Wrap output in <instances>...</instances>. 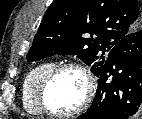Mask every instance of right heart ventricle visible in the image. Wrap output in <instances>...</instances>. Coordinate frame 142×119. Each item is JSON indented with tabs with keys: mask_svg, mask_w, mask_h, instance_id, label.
Wrapping results in <instances>:
<instances>
[{
	"mask_svg": "<svg viewBox=\"0 0 142 119\" xmlns=\"http://www.w3.org/2000/svg\"><path fill=\"white\" fill-rule=\"evenodd\" d=\"M54 66L53 61H45L32 68L26 75L22 86V103L28 113L42 114L43 111L38 103V90L43 78Z\"/></svg>",
	"mask_w": 142,
	"mask_h": 119,
	"instance_id": "e07e8e85",
	"label": "right heart ventricle"
}]
</instances>
